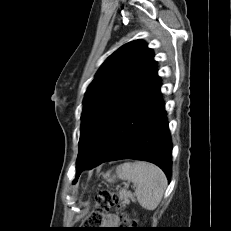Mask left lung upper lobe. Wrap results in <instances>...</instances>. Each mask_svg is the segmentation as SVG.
I'll list each match as a JSON object with an SVG mask.
<instances>
[{
    "label": "left lung upper lobe",
    "instance_id": "left-lung-upper-lobe-1",
    "mask_svg": "<svg viewBox=\"0 0 231 231\" xmlns=\"http://www.w3.org/2000/svg\"><path fill=\"white\" fill-rule=\"evenodd\" d=\"M156 65L142 40L124 44L102 64L83 100L76 168L85 164L108 124Z\"/></svg>",
    "mask_w": 231,
    "mask_h": 231
}]
</instances>
